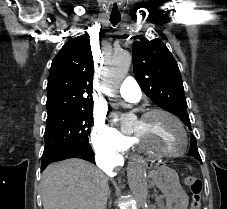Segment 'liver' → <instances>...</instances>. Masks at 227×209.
<instances>
[{
	"label": "liver",
	"instance_id": "6515ba94",
	"mask_svg": "<svg viewBox=\"0 0 227 209\" xmlns=\"http://www.w3.org/2000/svg\"><path fill=\"white\" fill-rule=\"evenodd\" d=\"M108 179L82 159L54 163L42 175L44 209H105Z\"/></svg>",
	"mask_w": 227,
	"mask_h": 209
}]
</instances>
